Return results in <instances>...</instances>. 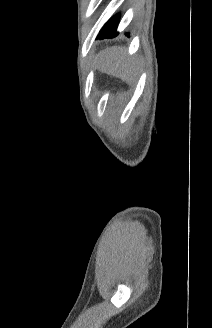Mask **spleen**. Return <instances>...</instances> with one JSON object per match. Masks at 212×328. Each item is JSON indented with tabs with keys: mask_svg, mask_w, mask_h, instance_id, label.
Instances as JSON below:
<instances>
[{
	"mask_svg": "<svg viewBox=\"0 0 212 328\" xmlns=\"http://www.w3.org/2000/svg\"><path fill=\"white\" fill-rule=\"evenodd\" d=\"M120 77L127 83H131L134 79L133 72H131L130 70H126L123 73H121Z\"/></svg>",
	"mask_w": 212,
	"mask_h": 328,
	"instance_id": "3e777b00",
	"label": "spleen"
}]
</instances>
